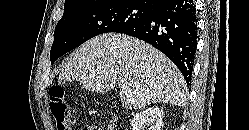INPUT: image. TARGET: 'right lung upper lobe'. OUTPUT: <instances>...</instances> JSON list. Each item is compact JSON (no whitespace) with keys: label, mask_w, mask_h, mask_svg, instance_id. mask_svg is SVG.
I'll list each match as a JSON object with an SVG mask.
<instances>
[{"label":"right lung upper lobe","mask_w":249,"mask_h":130,"mask_svg":"<svg viewBox=\"0 0 249 130\" xmlns=\"http://www.w3.org/2000/svg\"><path fill=\"white\" fill-rule=\"evenodd\" d=\"M107 0H66L64 4V12L79 9L91 4L104 2ZM135 2L146 4L150 6L152 9L156 7L163 0H134Z\"/></svg>","instance_id":"cb5924a9"}]
</instances>
